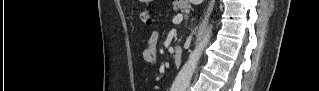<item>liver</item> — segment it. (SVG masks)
<instances>
[{
	"label": "liver",
	"mask_w": 319,
	"mask_h": 91,
	"mask_svg": "<svg viewBox=\"0 0 319 91\" xmlns=\"http://www.w3.org/2000/svg\"><path fill=\"white\" fill-rule=\"evenodd\" d=\"M188 2V1H186ZM190 3L192 4H200L202 2V0H189Z\"/></svg>",
	"instance_id": "liver-1"
}]
</instances>
